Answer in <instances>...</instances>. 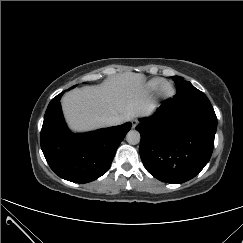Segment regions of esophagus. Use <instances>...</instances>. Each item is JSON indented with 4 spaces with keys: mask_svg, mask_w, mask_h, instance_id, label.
Returning <instances> with one entry per match:
<instances>
[{
    "mask_svg": "<svg viewBox=\"0 0 243 243\" xmlns=\"http://www.w3.org/2000/svg\"><path fill=\"white\" fill-rule=\"evenodd\" d=\"M131 123L133 128H135L138 125V121L136 119H133Z\"/></svg>",
    "mask_w": 243,
    "mask_h": 243,
    "instance_id": "1",
    "label": "esophagus"
}]
</instances>
